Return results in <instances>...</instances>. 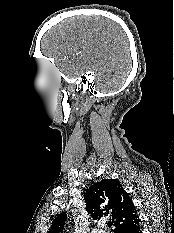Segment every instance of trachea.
<instances>
[{
  "instance_id": "obj_1",
  "label": "trachea",
  "mask_w": 174,
  "mask_h": 233,
  "mask_svg": "<svg viewBox=\"0 0 174 233\" xmlns=\"http://www.w3.org/2000/svg\"><path fill=\"white\" fill-rule=\"evenodd\" d=\"M107 226H108V227H111V226H112V222H111V221L108 222V223H107Z\"/></svg>"
}]
</instances>
